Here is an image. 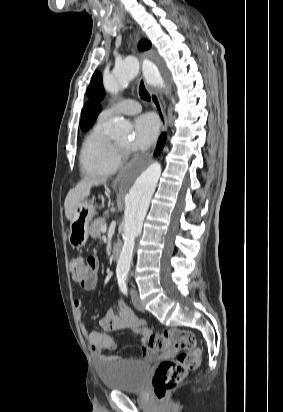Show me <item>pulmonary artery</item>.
I'll return each instance as SVG.
<instances>
[{"label": "pulmonary artery", "mask_w": 283, "mask_h": 412, "mask_svg": "<svg viewBox=\"0 0 283 412\" xmlns=\"http://www.w3.org/2000/svg\"><path fill=\"white\" fill-rule=\"evenodd\" d=\"M140 111L141 105L139 104V102L131 99H126L116 105L104 109L100 113L99 119L102 121H107L115 115H135Z\"/></svg>", "instance_id": "e3ab8cb5"}]
</instances>
